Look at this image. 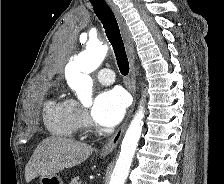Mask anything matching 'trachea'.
<instances>
[{
	"mask_svg": "<svg viewBox=\"0 0 224 184\" xmlns=\"http://www.w3.org/2000/svg\"><path fill=\"white\" fill-rule=\"evenodd\" d=\"M90 2L95 14L105 29L109 42L113 47L117 65L121 74L127 75L129 73V62L114 13L104 0H90Z\"/></svg>",
	"mask_w": 224,
	"mask_h": 184,
	"instance_id": "3493384b",
	"label": "trachea"
}]
</instances>
